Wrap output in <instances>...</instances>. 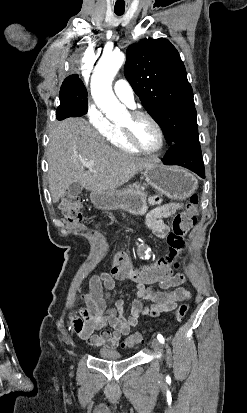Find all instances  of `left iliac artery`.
I'll use <instances>...</instances> for the list:
<instances>
[{
  "label": "left iliac artery",
  "mask_w": 247,
  "mask_h": 413,
  "mask_svg": "<svg viewBox=\"0 0 247 413\" xmlns=\"http://www.w3.org/2000/svg\"><path fill=\"white\" fill-rule=\"evenodd\" d=\"M157 339L159 340L160 343L164 344L165 340L161 334L157 335Z\"/></svg>",
  "instance_id": "1"
}]
</instances>
